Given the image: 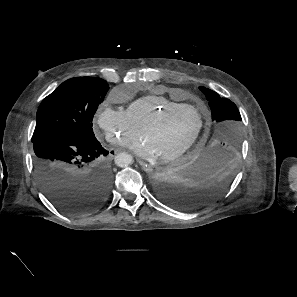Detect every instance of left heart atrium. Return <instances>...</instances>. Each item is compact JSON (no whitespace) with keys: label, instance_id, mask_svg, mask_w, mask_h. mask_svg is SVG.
<instances>
[{"label":"left heart atrium","instance_id":"39dd6f15","mask_svg":"<svg viewBox=\"0 0 297 297\" xmlns=\"http://www.w3.org/2000/svg\"><path fill=\"white\" fill-rule=\"evenodd\" d=\"M130 147L141 158L153 160L159 157L153 144L146 138L134 142Z\"/></svg>","mask_w":297,"mask_h":297}]
</instances>
